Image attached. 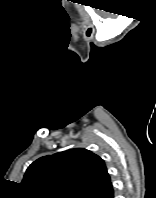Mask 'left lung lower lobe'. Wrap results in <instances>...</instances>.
Listing matches in <instances>:
<instances>
[{
  "mask_svg": "<svg viewBox=\"0 0 156 198\" xmlns=\"http://www.w3.org/2000/svg\"><path fill=\"white\" fill-rule=\"evenodd\" d=\"M92 198H114V190L111 181L104 189L96 193Z\"/></svg>",
  "mask_w": 156,
  "mask_h": 198,
  "instance_id": "0a47b994",
  "label": "left lung lower lobe"
}]
</instances>
